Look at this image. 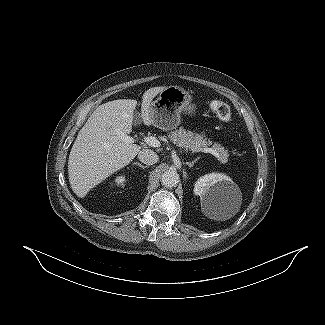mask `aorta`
Masks as SVG:
<instances>
[{
	"mask_svg": "<svg viewBox=\"0 0 325 325\" xmlns=\"http://www.w3.org/2000/svg\"><path fill=\"white\" fill-rule=\"evenodd\" d=\"M179 182V174L175 170H167L161 176V184L165 187H174Z\"/></svg>",
	"mask_w": 325,
	"mask_h": 325,
	"instance_id": "aorta-1",
	"label": "aorta"
}]
</instances>
